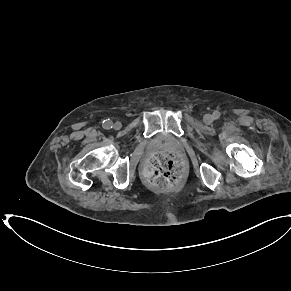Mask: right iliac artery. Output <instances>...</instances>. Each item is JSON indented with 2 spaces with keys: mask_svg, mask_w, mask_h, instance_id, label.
<instances>
[{
  "mask_svg": "<svg viewBox=\"0 0 291 291\" xmlns=\"http://www.w3.org/2000/svg\"><path fill=\"white\" fill-rule=\"evenodd\" d=\"M103 127L105 129H111L113 127V122L108 120L103 121Z\"/></svg>",
  "mask_w": 291,
  "mask_h": 291,
  "instance_id": "obj_1",
  "label": "right iliac artery"
}]
</instances>
